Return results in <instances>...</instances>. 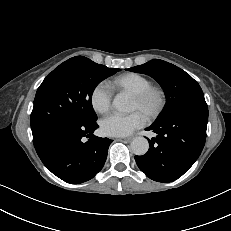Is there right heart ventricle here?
Masks as SVG:
<instances>
[{
  "mask_svg": "<svg viewBox=\"0 0 231 231\" xmlns=\"http://www.w3.org/2000/svg\"><path fill=\"white\" fill-rule=\"evenodd\" d=\"M149 85H151V81L148 77L135 72L121 74L109 82L111 89L130 94L140 92Z\"/></svg>",
  "mask_w": 231,
  "mask_h": 231,
  "instance_id": "obj_1",
  "label": "right heart ventricle"
}]
</instances>
